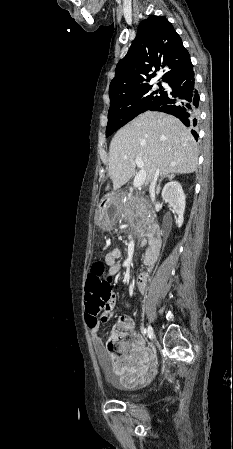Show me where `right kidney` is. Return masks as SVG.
Returning a JSON list of instances; mask_svg holds the SVG:
<instances>
[{
    "label": "right kidney",
    "mask_w": 233,
    "mask_h": 449,
    "mask_svg": "<svg viewBox=\"0 0 233 449\" xmlns=\"http://www.w3.org/2000/svg\"><path fill=\"white\" fill-rule=\"evenodd\" d=\"M162 198L165 202L169 203L173 211L178 215L176 223L178 227H181L184 221L185 211V194L182 186L177 181L167 183L162 190Z\"/></svg>",
    "instance_id": "ca27d5eb"
}]
</instances>
